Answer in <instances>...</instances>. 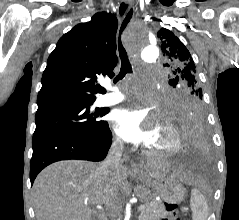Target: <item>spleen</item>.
<instances>
[{"mask_svg": "<svg viewBox=\"0 0 239 220\" xmlns=\"http://www.w3.org/2000/svg\"><path fill=\"white\" fill-rule=\"evenodd\" d=\"M190 206L192 209V220H206L209 208L205 197L198 189L191 192Z\"/></svg>", "mask_w": 239, "mask_h": 220, "instance_id": "3e777b00", "label": "spleen"}]
</instances>
